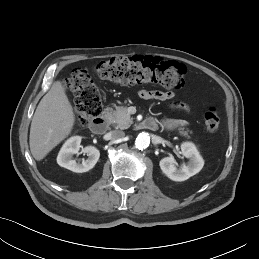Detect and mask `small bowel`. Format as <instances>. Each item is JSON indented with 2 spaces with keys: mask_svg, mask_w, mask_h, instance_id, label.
I'll use <instances>...</instances> for the list:
<instances>
[{
  "mask_svg": "<svg viewBox=\"0 0 259 259\" xmlns=\"http://www.w3.org/2000/svg\"><path fill=\"white\" fill-rule=\"evenodd\" d=\"M139 95L144 100H171L175 96V94L171 91H153V90H146V89L140 90ZM173 106L176 108L186 109V107L179 102H175ZM186 124L187 122L184 120H166L163 122L164 127L168 129L183 127Z\"/></svg>",
  "mask_w": 259,
  "mask_h": 259,
  "instance_id": "obj_1",
  "label": "small bowel"
}]
</instances>
